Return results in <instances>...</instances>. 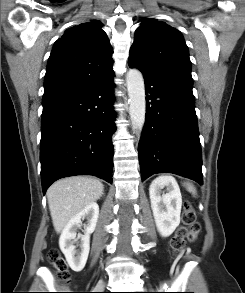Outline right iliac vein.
Returning a JSON list of instances; mask_svg holds the SVG:
<instances>
[{
  "label": "right iliac vein",
  "instance_id": "right-iliac-vein-1",
  "mask_svg": "<svg viewBox=\"0 0 245 293\" xmlns=\"http://www.w3.org/2000/svg\"><path fill=\"white\" fill-rule=\"evenodd\" d=\"M103 287H104V283H103V282H99V283L97 284V286H96V289H97V290H102Z\"/></svg>",
  "mask_w": 245,
  "mask_h": 293
}]
</instances>
